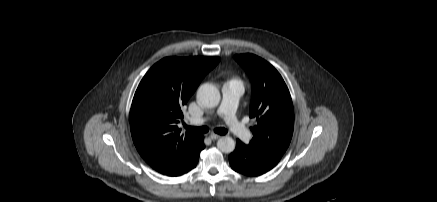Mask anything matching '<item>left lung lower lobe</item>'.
<instances>
[{
  "label": "left lung lower lobe",
  "mask_w": 437,
  "mask_h": 202,
  "mask_svg": "<svg viewBox=\"0 0 437 202\" xmlns=\"http://www.w3.org/2000/svg\"><path fill=\"white\" fill-rule=\"evenodd\" d=\"M229 161L233 170L246 176H259L274 167L238 139L236 149L229 155Z\"/></svg>",
  "instance_id": "left-lung-lower-lobe-1"
}]
</instances>
